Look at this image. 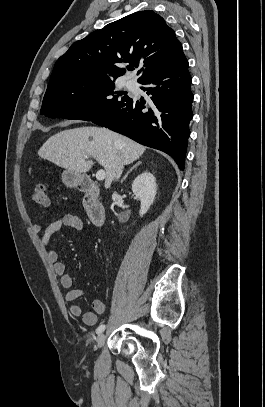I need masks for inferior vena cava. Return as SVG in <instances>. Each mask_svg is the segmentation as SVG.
<instances>
[{
	"instance_id": "obj_1",
	"label": "inferior vena cava",
	"mask_w": 265,
	"mask_h": 407,
	"mask_svg": "<svg viewBox=\"0 0 265 407\" xmlns=\"http://www.w3.org/2000/svg\"><path fill=\"white\" fill-rule=\"evenodd\" d=\"M123 168H124V164H123L122 160L118 159L116 169H115V174H114V178L116 180L121 176Z\"/></svg>"
}]
</instances>
